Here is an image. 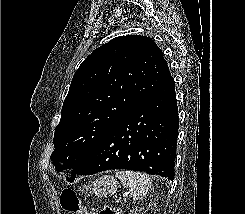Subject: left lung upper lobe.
<instances>
[{"mask_svg":"<svg viewBox=\"0 0 245 214\" xmlns=\"http://www.w3.org/2000/svg\"><path fill=\"white\" fill-rule=\"evenodd\" d=\"M171 76L161 49L141 35L95 49L75 72L55 129L50 159L73 170L133 107Z\"/></svg>","mask_w":245,"mask_h":214,"instance_id":"left-lung-upper-lobe-1","label":"left lung upper lobe"}]
</instances>
